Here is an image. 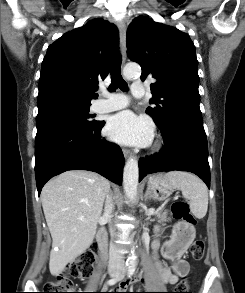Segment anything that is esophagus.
<instances>
[{"label": "esophagus", "instance_id": "obj_1", "mask_svg": "<svg viewBox=\"0 0 245 293\" xmlns=\"http://www.w3.org/2000/svg\"><path fill=\"white\" fill-rule=\"evenodd\" d=\"M117 26L119 28L120 37H121V56H122L123 62H125L126 60V25L123 20H119L117 23ZM122 152L126 158L130 155V151L128 149L123 148Z\"/></svg>", "mask_w": 245, "mask_h": 293}]
</instances>
